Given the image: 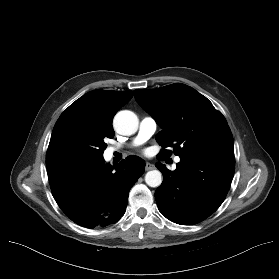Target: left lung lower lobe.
<instances>
[{
  "label": "left lung lower lobe",
  "mask_w": 279,
  "mask_h": 279,
  "mask_svg": "<svg viewBox=\"0 0 279 279\" xmlns=\"http://www.w3.org/2000/svg\"><path fill=\"white\" fill-rule=\"evenodd\" d=\"M156 167L163 174L155 192L159 211L174 223L191 225L206 219L224 201L234 176L235 157L186 154L175 171L161 163Z\"/></svg>",
  "instance_id": "obj_1"
}]
</instances>
